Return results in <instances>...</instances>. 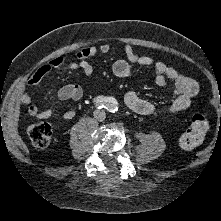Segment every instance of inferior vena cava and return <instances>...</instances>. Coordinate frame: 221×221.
Wrapping results in <instances>:
<instances>
[{
  "label": "inferior vena cava",
  "instance_id": "obj_1",
  "mask_svg": "<svg viewBox=\"0 0 221 221\" xmlns=\"http://www.w3.org/2000/svg\"><path fill=\"white\" fill-rule=\"evenodd\" d=\"M95 118L99 121H103L105 119V112L104 111H95L94 113Z\"/></svg>",
  "mask_w": 221,
  "mask_h": 221
}]
</instances>
